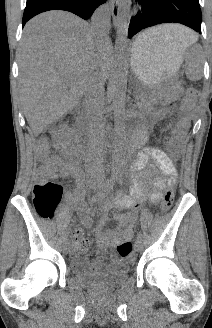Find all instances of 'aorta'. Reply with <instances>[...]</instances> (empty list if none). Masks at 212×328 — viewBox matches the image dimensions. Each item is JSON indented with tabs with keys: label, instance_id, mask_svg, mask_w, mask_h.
<instances>
[{
	"label": "aorta",
	"instance_id": "1",
	"mask_svg": "<svg viewBox=\"0 0 212 328\" xmlns=\"http://www.w3.org/2000/svg\"><path fill=\"white\" fill-rule=\"evenodd\" d=\"M125 17V16H123ZM127 36L128 26L124 21L119 26L115 41V64L112 81L113 102L112 109L114 115V136L117 149L113 155V166L111 169V179L120 180L125 171L122 167V153L120 147L125 141V120H126V89H127Z\"/></svg>",
	"mask_w": 212,
	"mask_h": 328
}]
</instances>
